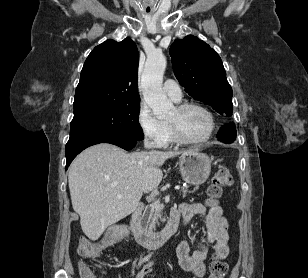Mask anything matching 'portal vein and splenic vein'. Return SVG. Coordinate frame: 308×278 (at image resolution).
I'll use <instances>...</instances> for the list:
<instances>
[{
	"mask_svg": "<svg viewBox=\"0 0 308 278\" xmlns=\"http://www.w3.org/2000/svg\"><path fill=\"white\" fill-rule=\"evenodd\" d=\"M180 189V186H175V190H179ZM122 197V195L121 194H119V195H117V198H121Z\"/></svg>",
	"mask_w": 308,
	"mask_h": 278,
	"instance_id": "18ae733b",
	"label": "portal vein and splenic vein"
}]
</instances>
